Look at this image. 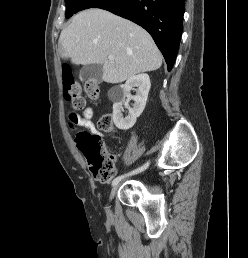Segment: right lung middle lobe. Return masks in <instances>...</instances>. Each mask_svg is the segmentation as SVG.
<instances>
[{
	"label": "right lung middle lobe",
	"mask_w": 248,
	"mask_h": 258,
	"mask_svg": "<svg viewBox=\"0 0 248 258\" xmlns=\"http://www.w3.org/2000/svg\"><path fill=\"white\" fill-rule=\"evenodd\" d=\"M109 0H65L66 3V18L71 17L74 13L81 10L96 7Z\"/></svg>",
	"instance_id": "dd1d6c3e"
}]
</instances>
